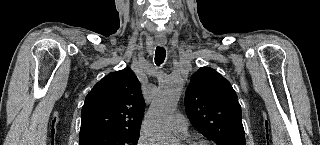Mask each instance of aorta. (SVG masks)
Masks as SVG:
<instances>
[{"instance_id":"obj_1","label":"aorta","mask_w":320,"mask_h":145,"mask_svg":"<svg viewBox=\"0 0 320 145\" xmlns=\"http://www.w3.org/2000/svg\"><path fill=\"white\" fill-rule=\"evenodd\" d=\"M182 86L180 78L168 77L153 99L144 121V132L152 145H174L168 119L177 106Z\"/></svg>"}]
</instances>
